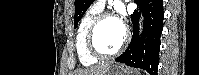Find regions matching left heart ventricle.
I'll list each match as a JSON object with an SVG mask.
<instances>
[{
    "label": "left heart ventricle",
    "instance_id": "obj_1",
    "mask_svg": "<svg viewBox=\"0 0 199 75\" xmlns=\"http://www.w3.org/2000/svg\"><path fill=\"white\" fill-rule=\"evenodd\" d=\"M124 29L117 19H106L99 26L95 41L98 48L104 52L115 50L123 41Z\"/></svg>",
    "mask_w": 199,
    "mask_h": 75
}]
</instances>
